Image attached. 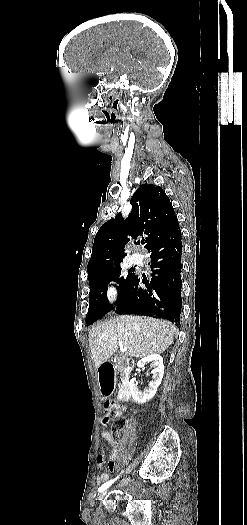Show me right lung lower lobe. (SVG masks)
I'll return each instance as SVG.
<instances>
[{
    "mask_svg": "<svg viewBox=\"0 0 247 525\" xmlns=\"http://www.w3.org/2000/svg\"><path fill=\"white\" fill-rule=\"evenodd\" d=\"M146 249L151 257V279L133 278L117 306L120 314H144L179 323L181 312L182 241L179 225L155 239ZM144 283L146 288H140Z\"/></svg>",
    "mask_w": 247,
    "mask_h": 525,
    "instance_id": "right-lung-lower-lobe-1",
    "label": "right lung lower lobe"
}]
</instances>
